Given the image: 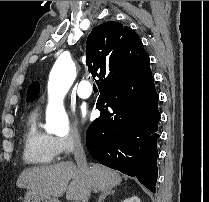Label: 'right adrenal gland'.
<instances>
[{
    "instance_id": "obj_1",
    "label": "right adrenal gland",
    "mask_w": 209,
    "mask_h": 202,
    "mask_svg": "<svg viewBox=\"0 0 209 202\" xmlns=\"http://www.w3.org/2000/svg\"><path fill=\"white\" fill-rule=\"evenodd\" d=\"M115 191L112 189H108L105 191H102L101 194L99 195L98 201L97 202H102L108 195L114 194Z\"/></svg>"
}]
</instances>
